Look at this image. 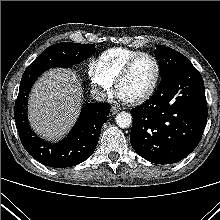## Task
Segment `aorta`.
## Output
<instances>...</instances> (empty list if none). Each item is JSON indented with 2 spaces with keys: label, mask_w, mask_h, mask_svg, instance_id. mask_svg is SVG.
I'll return each mask as SVG.
<instances>
[{
  "label": "aorta",
  "mask_w": 220,
  "mask_h": 220,
  "mask_svg": "<svg viewBox=\"0 0 220 220\" xmlns=\"http://www.w3.org/2000/svg\"><path fill=\"white\" fill-rule=\"evenodd\" d=\"M115 121L120 128H127L132 124V116L123 111L117 114Z\"/></svg>",
  "instance_id": "762f6f07"
}]
</instances>
